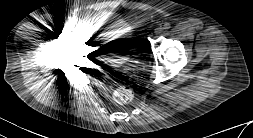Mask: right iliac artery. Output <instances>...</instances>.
<instances>
[{"mask_svg":"<svg viewBox=\"0 0 253 138\" xmlns=\"http://www.w3.org/2000/svg\"><path fill=\"white\" fill-rule=\"evenodd\" d=\"M75 24L73 23V22H69L68 24H67V27L69 28V29H72V27L74 26Z\"/></svg>","mask_w":253,"mask_h":138,"instance_id":"right-iliac-artery-1","label":"right iliac artery"}]
</instances>
